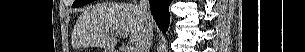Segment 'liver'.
<instances>
[{
	"instance_id": "liver-1",
	"label": "liver",
	"mask_w": 305,
	"mask_h": 52,
	"mask_svg": "<svg viewBox=\"0 0 305 52\" xmlns=\"http://www.w3.org/2000/svg\"><path fill=\"white\" fill-rule=\"evenodd\" d=\"M76 28L91 45L108 50L117 44L118 34H129L130 42L136 46L144 33L138 7L133 4L109 3L90 7L78 18Z\"/></svg>"
}]
</instances>
